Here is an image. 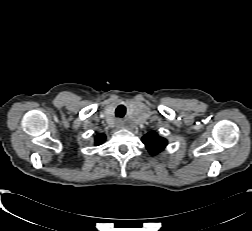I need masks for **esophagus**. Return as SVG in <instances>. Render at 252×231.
Returning <instances> with one entry per match:
<instances>
[{"mask_svg":"<svg viewBox=\"0 0 252 231\" xmlns=\"http://www.w3.org/2000/svg\"><path fill=\"white\" fill-rule=\"evenodd\" d=\"M123 126V121L121 119H118L116 122V127L121 128Z\"/></svg>","mask_w":252,"mask_h":231,"instance_id":"obj_1","label":"esophagus"}]
</instances>
